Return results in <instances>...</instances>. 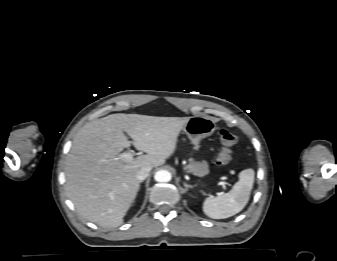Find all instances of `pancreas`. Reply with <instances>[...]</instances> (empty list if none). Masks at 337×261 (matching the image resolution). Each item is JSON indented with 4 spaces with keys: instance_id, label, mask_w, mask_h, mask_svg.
<instances>
[{
    "instance_id": "1",
    "label": "pancreas",
    "mask_w": 337,
    "mask_h": 261,
    "mask_svg": "<svg viewBox=\"0 0 337 261\" xmlns=\"http://www.w3.org/2000/svg\"><path fill=\"white\" fill-rule=\"evenodd\" d=\"M208 163L206 161L195 162L192 159L190 163L185 167L188 173H193L194 175H205L209 172Z\"/></svg>"
}]
</instances>
